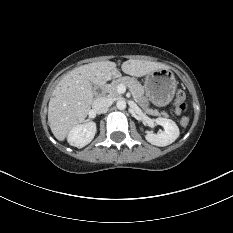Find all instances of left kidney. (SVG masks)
Returning <instances> with one entry per match:
<instances>
[{
    "instance_id": "5707ae66",
    "label": "left kidney",
    "mask_w": 233,
    "mask_h": 233,
    "mask_svg": "<svg viewBox=\"0 0 233 233\" xmlns=\"http://www.w3.org/2000/svg\"><path fill=\"white\" fill-rule=\"evenodd\" d=\"M155 122L163 126L164 131L158 134L148 132L145 138L149 143L163 147L173 143L179 137V128L173 120L159 117Z\"/></svg>"
}]
</instances>
